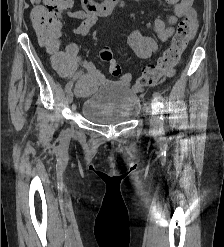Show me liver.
Masks as SVG:
<instances>
[{"mask_svg": "<svg viewBox=\"0 0 224 247\" xmlns=\"http://www.w3.org/2000/svg\"><path fill=\"white\" fill-rule=\"evenodd\" d=\"M31 4H34L35 0H30Z\"/></svg>", "mask_w": 224, "mask_h": 247, "instance_id": "obj_1", "label": "liver"}]
</instances>
